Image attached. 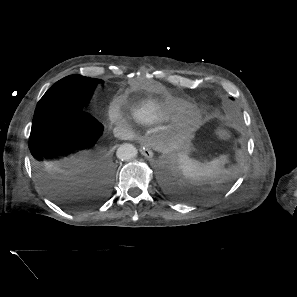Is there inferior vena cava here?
Masks as SVG:
<instances>
[{
	"label": "inferior vena cava",
	"instance_id": "602c4592",
	"mask_svg": "<svg viewBox=\"0 0 297 297\" xmlns=\"http://www.w3.org/2000/svg\"><path fill=\"white\" fill-rule=\"evenodd\" d=\"M113 133L120 139H129L132 136V132L128 128L122 126L115 127Z\"/></svg>",
	"mask_w": 297,
	"mask_h": 297
}]
</instances>
